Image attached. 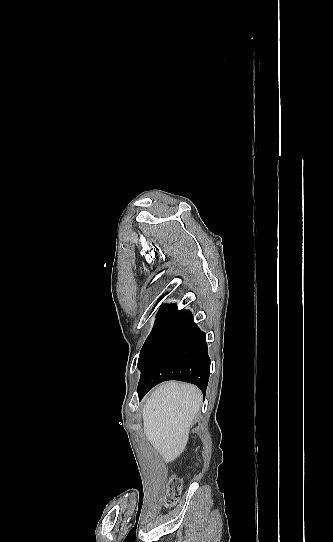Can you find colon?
Masks as SVG:
<instances>
[{
	"label": "colon",
	"instance_id": "colon-1",
	"mask_svg": "<svg viewBox=\"0 0 333 542\" xmlns=\"http://www.w3.org/2000/svg\"><path fill=\"white\" fill-rule=\"evenodd\" d=\"M182 490V483L176 477H170L168 487L166 490L164 504L167 507L175 505L179 499Z\"/></svg>",
	"mask_w": 333,
	"mask_h": 542
}]
</instances>
